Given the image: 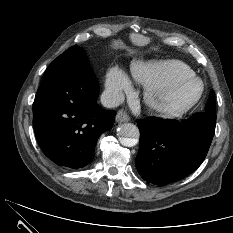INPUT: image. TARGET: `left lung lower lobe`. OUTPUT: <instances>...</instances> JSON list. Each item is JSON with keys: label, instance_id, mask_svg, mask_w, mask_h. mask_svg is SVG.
Here are the masks:
<instances>
[{"label": "left lung lower lobe", "instance_id": "obj_1", "mask_svg": "<svg viewBox=\"0 0 233 233\" xmlns=\"http://www.w3.org/2000/svg\"><path fill=\"white\" fill-rule=\"evenodd\" d=\"M215 125L216 115L205 113L169 124L157 117L148 123L139 121L137 171L144 180L158 186L184 178L204 161Z\"/></svg>", "mask_w": 233, "mask_h": 233}]
</instances>
